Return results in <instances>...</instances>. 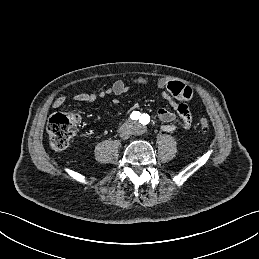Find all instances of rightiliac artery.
Masks as SVG:
<instances>
[{"mask_svg":"<svg viewBox=\"0 0 259 259\" xmlns=\"http://www.w3.org/2000/svg\"><path fill=\"white\" fill-rule=\"evenodd\" d=\"M130 118L132 120H138L140 118V112L138 111H133L132 114L130 115Z\"/></svg>","mask_w":259,"mask_h":259,"instance_id":"82829eb1","label":"right iliac artery"}]
</instances>
